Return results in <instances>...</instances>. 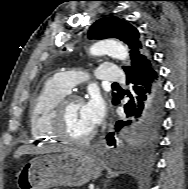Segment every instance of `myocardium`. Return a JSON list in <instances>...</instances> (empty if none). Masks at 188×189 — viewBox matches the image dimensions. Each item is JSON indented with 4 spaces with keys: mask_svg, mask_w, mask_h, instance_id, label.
Segmentation results:
<instances>
[{
    "mask_svg": "<svg viewBox=\"0 0 188 189\" xmlns=\"http://www.w3.org/2000/svg\"><path fill=\"white\" fill-rule=\"evenodd\" d=\"M83 101V98L78 94L69 92L57 101L51 112L49 122V129L57 139L69 144H84L90 142L94 138L96 134V130L94 128L83 137L70 136L64 129L65 115L69 105L73 102Z\"/></svg>",
    "mask_w": 188,
    "mask_h": 189,
    "instance_id": "1",
    "label": "myocardium"
}]
</instances>
